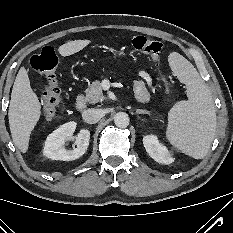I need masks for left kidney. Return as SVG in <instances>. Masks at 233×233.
<instances>
[{"label": "left kidney", "instance_id": "5707ae66", "mask_svg": "<svg viewBox=\"0 0 233 233\" xmlns=\"http://www.w3.org/2000/svg\"><path fill=\"white\" fill-rule=\"evenodd\" d=\"M144 147L149 154V156L154 159L156 162L169 165L174 162L170 151L161 144L157 137L154 135H147L143 137Z\"/></svg>", "mask_w": 233, "mask_h": 233}]
</instances>
